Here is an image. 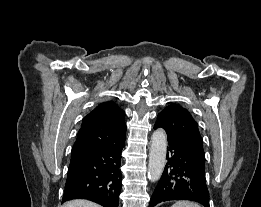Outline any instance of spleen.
I'll return each instance as SVG.
<instances>
[{
    "instance_id": "spleen-1",
    "label": "spleen",
    "mask_w": 261,
    "mask_h": 207,
    "mask_svg": "<svg viewBox=\"0 0 261 207\" xmlns=\"http://www.w3.org/2000/svg\"><path fill=\"white\" fill-rule=\"evenodd\" d=\"M171 207H201V206L194 202L178 201L175 204H173Z\"/></svg>"
}]
</instances>
